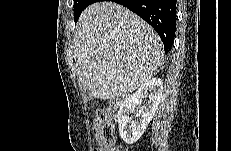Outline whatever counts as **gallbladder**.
I'll return each mask as SVG.
<instances>
[{"instance_id": "1", "label": "gallbladder", "mask_w": 231, "mask_h": 151, "mask_svg": "<svg viewBox=\"0 0 231 151\" xmlns=\"http://www.w3.org/2000/svg\"><path fill=\"white\" fill-rule=\"evenodd\" d=\"M86 95H87V98H89V99H92V97H93L92 91L89 88L86 89Z\"/></svg>"}]
</instances>
